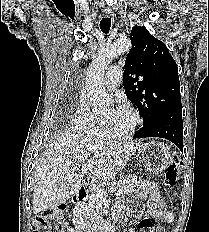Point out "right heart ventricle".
<instances>
[{"label": "right heart ventricle", "instance_id": "obj_1", "mask_svg": "<svg viewBox=\"0 0 209 232\" xmlns=\"http://www.w3.org/2000/svg\"><path fill=\"white\" fill-rule=\"evenodd\" d=\"M86 136L95 139H101L105 137L102 129V118L92 114V118L82 131Z\"/></svg>", "mask_w": 209, "mask_h": 232}]
</instances>
